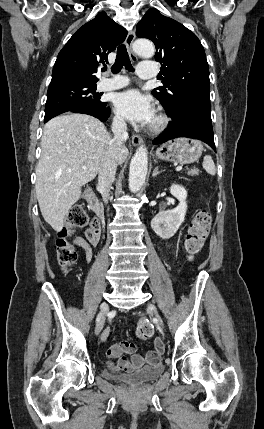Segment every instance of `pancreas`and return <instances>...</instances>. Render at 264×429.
<instances>
[{"instance_id": "obj_1", "label": "pancreas", "mask_w": 264, "mask_h": 429, "mask_svg": "<svg viewBox=\"0 0 264 429\" xmlns=\"http://www.w3.org/2000/svg\"><path fill=\"white\" fill-rule=\"evenodd\" d=\"M187 174L191 176H195L199 174V170L198 169L188 170Z\"/></svg>"}]
</instances>
